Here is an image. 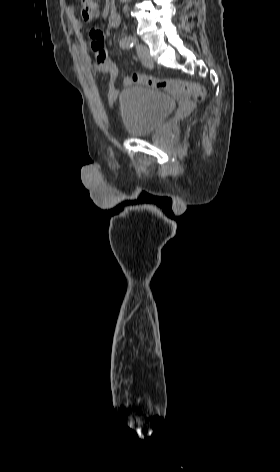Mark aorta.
<instances>
[{
    "label": "aorta",
    "instance_id": "obj_1",
    "mask_svg": "<svg viewBox=\"0 0 280 472\" xmlns=\"http://www.w3.org/2000/svg\"><path fill=\"white\" fill-rule=\"evenodd\" d=\"M123 2H126L127 0H122Z\"/></svg>",
    "mask_w": 280,
    "mask_h": 472
}]
</instances>
